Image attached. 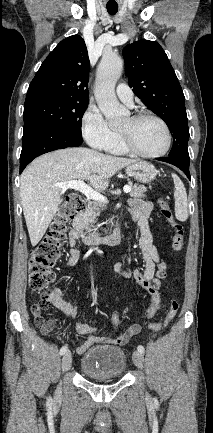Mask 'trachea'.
I'll use <instances>...</instances> for the list:
<instances>
[{"label":"trachea","mask_w":213,"mask_h":433,"mask_svg":"<svg viewBox=\"0 0 213 433\" xmlns=\"http://www.w3.org/2000/svg\"><path fill=\"white\" fill-rule=\"evenodd\" d=\"M107 11L110 15H115L118 11V7H107Z\"/></svg>","instance_id":"trachea-1"}]
</instances>
